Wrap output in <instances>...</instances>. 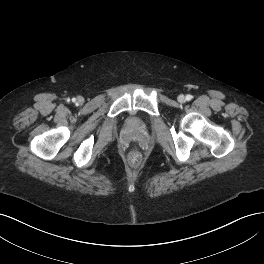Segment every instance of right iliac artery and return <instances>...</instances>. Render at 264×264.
<instances>
[{"mask_svg":"<svg viewBox=\"0 0 264 264\" xmlns=\"http://www.w3.org/2000/svg\"><path fill=\"white\" fill-rule=\"evenodd\" d=\"M72 101L75 102V98H73Z\"/></svg>","mask_w":264,"mask_h":264,"instance_id":"obj_1","label":"right iliac artery"}]
</instances>
